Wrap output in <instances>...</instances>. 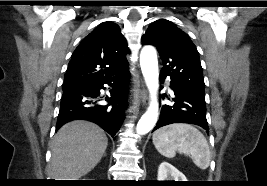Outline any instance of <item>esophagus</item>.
<instances>
[{
	"instance_id": "esophagus-1",
	"label": "esophagus",
	"mask_w": 267,
	"mask_h": 186,
	"mask_svg": "<svg viewBox=\"0 0 267 186\" xmlns=\"http://www.w3.org/2000/svg\"><path fill=\"white\" fill-rule=\"evenodd\" d=\"M139 98L141 100V102L146 105L148 102V95H147V91L144 87H142L139 91Z\"/></svg>"
}]
</instances>
